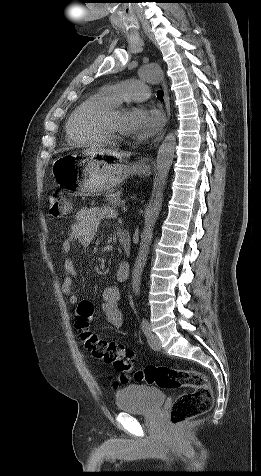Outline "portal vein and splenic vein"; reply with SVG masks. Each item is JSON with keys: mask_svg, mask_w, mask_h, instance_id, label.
<instances>
[{"mask_svg": "<svg viewBox=\"0 0 261 476\" xmlns=\"http://www.w3.org/2000/svg\"><path fill=\"white\" fill-rule=\"evenodd\" d=\"M121 209H122L123 212H126V211H127V207L125 206V204L122 205V208H121Z\"/></svg>", "mask_w": 261, "mask_h": 476, "instance_id": "1", "label": "portal vein and splenic vein"}]
</instances>
